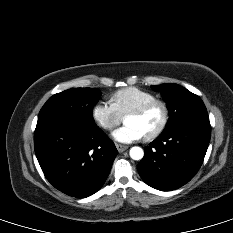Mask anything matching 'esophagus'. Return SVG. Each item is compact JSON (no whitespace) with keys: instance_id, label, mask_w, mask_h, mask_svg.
Segmentation results:
<instances>
[{"instance_id":"obj_1","label":"esophagus","mask_w":233,"mask_h":233,"mask_svg":"<svg viewBox=\"0 0 233 233\" xmlns=\"http://www.w3.org/2000/svg\"><path fill=\"white\" fill-rule=\"evenodd\" d=\"M116 148H117V150H118V152H123V151H125V150H127L128 149V146H126V145H122V144H116Z\"/></svg>"}]
</instances>
